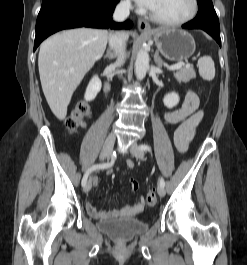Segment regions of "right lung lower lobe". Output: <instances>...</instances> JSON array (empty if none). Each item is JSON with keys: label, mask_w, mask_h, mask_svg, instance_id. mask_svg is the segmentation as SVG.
Here are the masks:
<instances>
[{"label": "right lung lower lobe", "mask_w": 247, "mask_h": 265, "mask_svg": "<svg viewBox=\"0 0 247 265\" xmlns=\"http://www.w3.org/2000/svg\"><path fill=\"white\" fill-rule=\"evenodd\" d=\"M120 0H43L36 22L34 50L49 35L75 27L130 28L115 23L112 14Z\"/></svg>", "instance_id": "1"}]
</instances>
